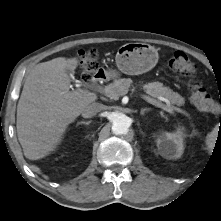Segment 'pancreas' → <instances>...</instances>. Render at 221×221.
<instances>
[{
    "label": "pancreas",
    "instance_id": "cf45deb5",
    "mask_svg": "<svg viewBox=\"0 0 221 221\" xmlns=\"http://www.w3.org/2000/svg\"><path fill=\"white\" fill-rule=\"evenodd\" d=\"M132 82L130 78L115 80L113 83L106 86L109 87L111 91L107 96L111 98L122 96L123 92L129 89ZM142 89L151 97L165 98L173 105L182 106L185 103L184 98L180 94L173 92L170 88L163 86V84L158 81L143 84Z\"/></svg>",
    "mask_w": 221,
    "mask_h": 221
}]
</instances>
